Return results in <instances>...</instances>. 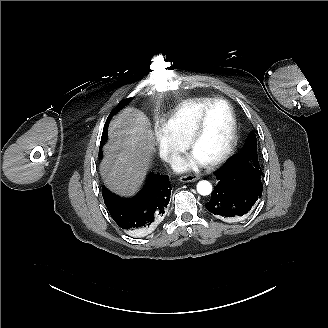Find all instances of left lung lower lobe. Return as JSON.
I'll return each mask as SVG.
<instances>
[{"label":"left lung lower lobe","instance_id":"obj_1","mask_svg":"<svg viewBox=\"0 0 328 328\" xmlns=\"http://www.w3.org/2000/svg\"><path fill=\"white\" fill-rule=\"evenodd\" d=\"M256 172L227 162L214 172L218 184L205 204L206 209L224 221L248 214L262 195L263 184Z\"/></svg>","mask_w":328,"mask_h":328}]
</instances>
